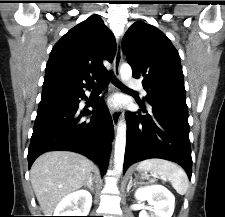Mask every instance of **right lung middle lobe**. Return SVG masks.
<instances>
[{
    "instance_id": "right-lung-middle-lobe-1",
    "label": "right lung middle lobe",
    "mask_w": 225,
    "mask_h": 217,
    "mask_svg": "<svg viewBox=\"0 0 225 217\" xmlns=\"http://www.w3.org/2000/svg\"><path fill=\"white\" fill-rule=\"evenodd\" d=\"M75 94H60V95H51L47 97H42L41 99H57V98H70L74 97Z\"/></svg>"
}]
</instances>
